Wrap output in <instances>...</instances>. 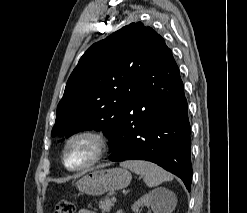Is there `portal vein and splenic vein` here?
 <instances>
[{
	"mask_svg": "<svg viewBox=\"0 0 247 213\" xmlns=\"http://www.w3.org/2000/svg\"><path fill=\"white\" fill-rule=\"evenodd\" d=\"M112 200L116 202L117 198L115 196H112Z\"/></svg>",
	"mask_w": 247,
	"mask_h": 213,
	"instance_id": "1",
	"label": "portal vein and splenic vein"
}]
</instances>
